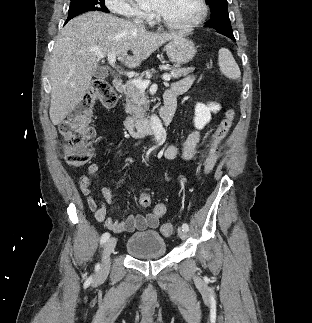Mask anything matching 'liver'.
<instances>
[{
	"label": "liver",
	"instance_id": "1",
	"mask_svg": "<svg viewBox=\"0 0 312 323\" xmlns=\"http://www.w3.org/2000/svg\"><path fill=\"white\" fill-rule=\"evenodd\" d=\"M182 34H153L111 14L88 12L70 20L57 36L49 78L50 120L58 126L80 104L101 58L116 54L128 68H138L155 50ZM131 50L133 56H128Z\"/></svg>",
	"mask_w": 312,
	"mask_h": 323
}]
</instances>
